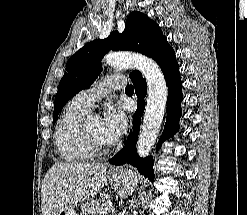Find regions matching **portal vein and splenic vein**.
<instances>
[{"label":"portal vein and splenic vein","instance_id":"obj_1","mask_svg":"<svg viewBox=\"0 0 247 215\" xmlns=\"http://www.w3.org/2000/svg\"><path fill=\"white\" fill-rule=\"evenodd\" d=\"M106 206L110 207L111 206V203H105Z\"/></svg>","mask_w":247,"mask_h":215}]
</instances>
